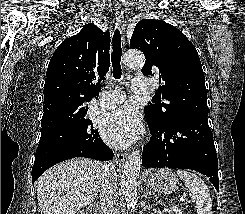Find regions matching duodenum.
Masks as SVG:
<instances>
[{
    "instance_id": "1",
    "label": "duodenum",
    "mask_w": 245,
    "mask_h": 214,
    "mask_svg": "<svg viewBox=\"0 0 245 214\" xmlns=\"http://www.w3.org/2000/svg\"><path fill=\"white\" fill-rule=\"evenodd\" d=\"M87 214H102V213L97 207H91L89 208Z\"/></svg>"
}]
</instances>
